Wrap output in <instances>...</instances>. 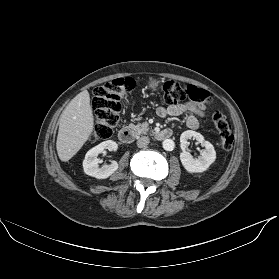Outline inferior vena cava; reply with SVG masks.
Here are the masks:
<instances>
[{
  "mask_svg": "<svg viewBox=\"0 0 279 279\" xmlns=\"http://www.w3.org/2000/svg\"><path fill=\"white\" fill-rule=\"evenodd\" d=\"M149 144V138L146 136H141L137 140V146L139 148L145 147Z\"/></svg>",
  "mask_w": 279,
  "mask_h": 279,
  "instance_id": "1",
  "label": "inferior vena cava"
}]
</instances>
